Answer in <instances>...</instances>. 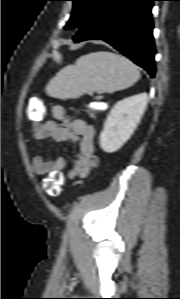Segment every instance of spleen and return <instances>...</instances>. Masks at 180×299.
Returning a JSON list of instances; mask_svg holds the SVG:
<instances>
[{
  "mask_svg": "<svg viewBox=\"0 0 180 299\" xmlns=\"http://www.w3.org/2000/svg\"><path fill=\"white\" fill-rule=\"evenodd\" d=\"M140 78L138 67L124 56L98 51L81 56L74 65L61 69L53 77L46 92L58 99H75L85 93L126 89Z\"/></svg>",
  "mask_w": 180,
  "mask_h": 299,
  "instance_id": "3e777b00",
  "label": "spleen"
}]
</instances>
